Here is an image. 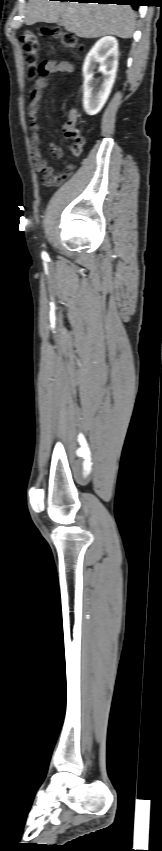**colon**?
<instances>
[{
  "instance_id": "colon-1",
  "label": "colon",
  "mask_w": 162,
  "mask_h": 851,
  "mask_svg": "<svg viewBox=\"0 0 162 851\" xmlns=\"http://www.w3.org/2000/svg\"><path fill=\"white\" fill-rule=\"evenodd\" d=\"M44 33L48 36L54 37L60 41L62 46L65 49L69 50H78L80 49V44L78 43L75 36L70 33H62L58 28H47ZM20 46L23 54L24 62L27 67V76L31 79L37 77L41 74V65L38 63L39 58V40L38 37L30 32H24L20 36ZM64 129L66 131V135L68 138L74 141L73 149L74 152H79L83 146V138L80 135L79 129L77 127V123L75 117L71 115L69 120L66 122ZM65 178V174L59 173L54 174L52 181L54 184H58L63 181Z\"/></svg>"
}]
</instances>
